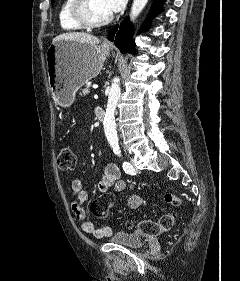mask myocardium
I'll use <instances>...</instances> for the list:
<instances>
[{"mask_svg": "<svg viewBox=\"0 0 240 281\" xmlns=\"http://www.w3.org/2000/svg\"><path fill=\"white\" fill-rule=\"evenodd\" d=\"M70 13L74 21L85 28H98L110 23L113 15L109 14L105 18H95L92 10L91 0H73Z\"/></svg>", "mask_w": 240, "mask_h": 281, "instance_id": "f54148a6", "label": "myocardium"}]
</instances>
